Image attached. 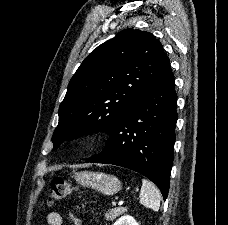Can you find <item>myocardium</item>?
<instances>
[{
  "instance_id": "myocardium-1",
  "label": "myocardium",
  "mask_w": 228,
  "mask_h": 225,
  "mask_svg": "<svg viewBox=\"0 0 228 225\" xmlns=\"http://www.w3.org/2000/svg\"><path fill=\"white\" fill-rule=\"evenodd\" d=\"M103 134L98 130H91L87 134V139L92 143H100L103 140Z\"/></svg>"
}]
</instances>
